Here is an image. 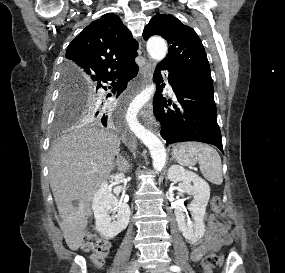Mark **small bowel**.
<instances>
[{
    "label": "small bowel",
    "instance_id": "c3829d8e",
    "mask_svg": "<svg viewBox=\"0 0 285 273\" xmlns=\"http://www.w3.org/2000/svg\"><path fill=\"white\" fill-rule=\"evenodd\" d=\"M228 226L218 222L213 215L208 217V226L204 240L197 245L191 253L193 260H199L208 249H219L231 243L227 233Z\"/></svg>",
    "mask_w": 285,
    "mask_h": 273
}]
</instances>
